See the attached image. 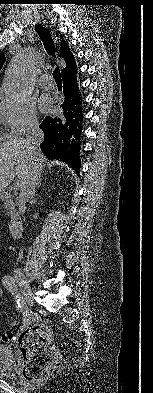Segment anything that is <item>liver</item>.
Returning a JSON list of instances; mask_svg holds the SVG:
<instances>
[{"label":"liver","mask_w":153,"mask_h":393,"mask_svg":"<svg viewBox=\"0 0 153 393\" xmlns=\"http://www.w3.org/2000/svg\"><path fill=\"white\" fill-rule=\"evenodd\" d=\"M42 158L40 150L31 151L26 139L22 137L0 143V194L15 176L22 185L31 174L35 163H42Z\"/></svg>","instance_id":"1"}]
</instances>
